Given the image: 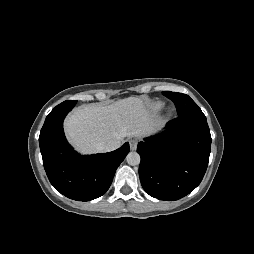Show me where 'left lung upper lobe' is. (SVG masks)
<instances>
[{"label":"left lung upper lobe","instance_id":"left-lung-upper-lobe-1","mask_svg":"<svg viewBox=\"0 0 254 254\" xmlns=\"http://www.w3.org/2000/svg\"><path fill=\"white\" fill-rule=\"evenodd\" d=\"M163 95L171 99L177 108L178 116L205 117L197 104L186 94L164 91Z\"/></svg>","mask_w":254,"mask_h":254}]
</instances>
